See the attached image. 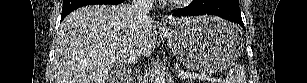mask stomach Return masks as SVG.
<instances>
[{
    "instance_id": "1",
    "label": "stomach",
    "mask_w": 307,
    "mask_h": 83,
    "mask_svg": "<svg viewBox=\"0 0 307 83\" xmlns=\"http://www.w3.org/2000/svg\"><path fill=\"white\" fill-rule=\"evenodd\" d=\"M165 37L174 56L199 73L224 70L239 56L243 44L236 25L212 16L191 18Z\"/></svg>"
}]
</instances>
